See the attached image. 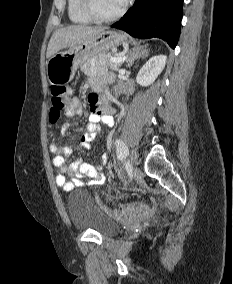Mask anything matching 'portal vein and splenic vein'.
<instances>
[{
    "label": "portal vein and splenic vein",
    "instance_id": "1",
    "mask_svg": "<svg viewBox=\"0 0 233 284\" xmlns=\"http://www.w3.org/2000/svg\"><path fill=\"white\" fill-rule=\"evenodd\" d=\"M127 56H125L124 54H121L117 57H112L110 58V61L114 62V63H122L126 60Z\"/></svg>",
    "mask_w": 233,
    "mask_h": 284
}]
</instances>
